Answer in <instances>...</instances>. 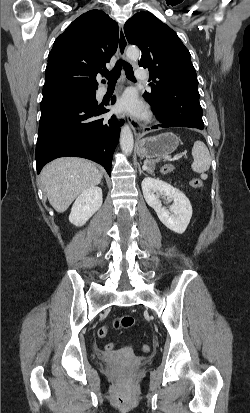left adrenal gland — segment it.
<instances>
[{
    "label": "left adrenal gland",
    "mask_w": 250,
    "mask_h": 413,
    "mask_svg": "<svg viewBox=\"0 0 250 413\" xmlns=\"http://www.w3.org/2000/svg\"><path fill=\"white\" fill-rule=\"evenodd\" d=\"M139 173H140V174H142V173L145 174V173L141 170L140 166H139Z\"/></svg>",
    "instance_id": "a2214340"
}]
</instances>
